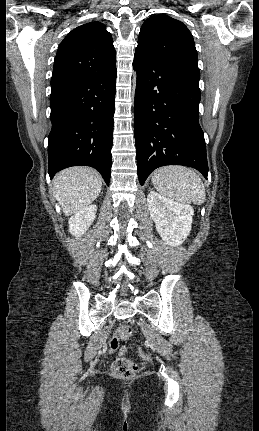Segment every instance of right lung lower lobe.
Segmentation results:
<instances>
[{"instance_id": "1", "label": "right lung lower lobe", "mask_w": 259, "mask_h": 431, "mask_svg": "<svg viewBox=\"0 0 259 431\" xmlns=\"http://www.w3.org/2000/svg\"><path fill=\"white\" fill-rule=\"evenodd\" d=\"M116 76L114 69L51 85V178L64 168L84 165L97 169L109 185Z\"/></svg>"}]
</instances>
